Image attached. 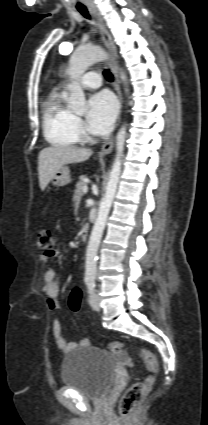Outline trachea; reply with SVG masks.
I'll return each instance as SVG.
<instances>
[{"mask_svg":"<svg viewBox=\"0 0 208 425\" xmlns=\"http://www.w3.org/2000/svg\"><path fill=\"white\" fill-rule=\"evenodd\" d=\"M78 11L85 17V18H87V19H90V15H89V13H88V11H87V9L86 8H83V9H78ZM103 74H104V76L106 77V79L108 80V81H112L113 80V75H112V73L108 70V69H105L104 71H103Z\"/></svg>","mask_w":208,"mask_h":425,"instance_id":"obj_1","label":"trachea"}]
</instances>
